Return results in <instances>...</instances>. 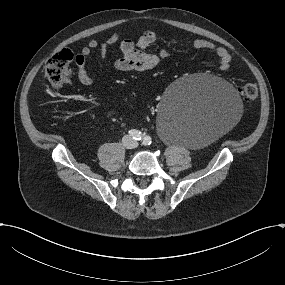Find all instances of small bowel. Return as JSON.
<instances>
[{"instance_id":"1","label":"small bowel","mask_w":285,"mask_h":285,"mask_svg":"<svg viewBox=\"0 0 285 285\" xmlns=\"http://www.w3.org/2000/svg\"><path fill=\"white\" fill-rule=\"evenodd\" d=\"M157 36L154 32H145L138 40L133 41L128 38H123L121 34H113L105 41L90 40L82 49L75 55V64L77 66V78L84 86L93 84V78L86 68L87 58L92 51L99 50L103 61L106 60L109 49L119 43V57L114 61L113 68L120 72L128 71H147L154 69L162 59L169 57V52L165 49L158 53H149L147 48L154 44ZM192 47L198 50L213 51L218 57L219 68L222 71H227L231 65V54L222 46H219L212 41L205 39H196L191 43ZM67 79L64 83L67 84Z\"/></svg>"}]
</instances>
